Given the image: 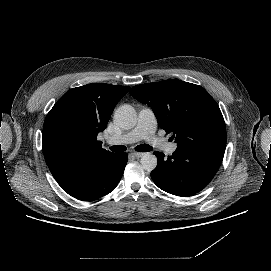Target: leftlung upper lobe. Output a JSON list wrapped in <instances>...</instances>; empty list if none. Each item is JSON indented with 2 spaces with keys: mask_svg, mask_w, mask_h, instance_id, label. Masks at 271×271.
<instances>
[{
  "mask_svg": "<svg viewBox=\"0 0 271 271\" xmlns=\"http://www.w3.org/2000/svg\"><path fill=\"white\" fill-rule=\"evenodd\" d=\"M131 95L152 108L159 126L175 134L178 146L226 148L222 113L203 87L170 79L136 85Z\"/></svg>",
  "mask_w": 271,
  "mask_h": 271,
  "instance_id": "left-lung-upper-lobe-1",
  "label": "left lung upper lobe"
}]
</instances>
